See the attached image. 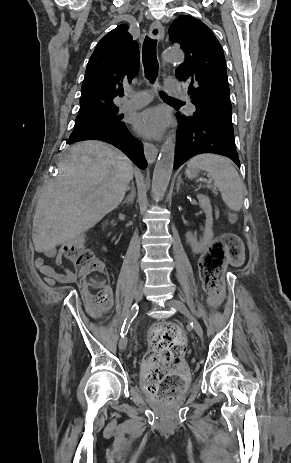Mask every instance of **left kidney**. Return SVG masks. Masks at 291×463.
Instances as JSON below:
<instances>
[{
    "instance_id": "obj_1",
    "label": "left kidney",
    "mask_w": 291,
    "mask_h": 463,
    "mask_svg": "<svg viewBox=\"0 0 291 463\" xmlns=\"http://www.w3.org/2000/svg\"><path fill=\"white\" fill-rule=\"evenodd\" d=\"M197 199L199 201L201 209L203 210L206 216L204 234L200 240H197V238L191 232H187L186 241L188 244L191 245L192 251L196 254H199L203 250H205L207 245L212 241L213 216H212V207L210 204V199L207 196L202 195V194H198Z\"/></svg>"
}]
</instances>
